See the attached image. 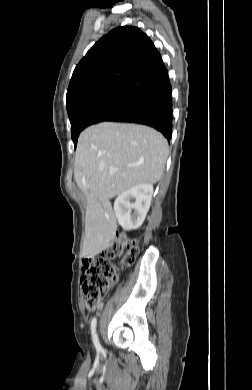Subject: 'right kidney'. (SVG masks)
<instances>
[{
    "mask_svg": "<svg viewBox=\"0 0 252 390\" xmlns=\"http://www.w3.org/2000/svg\"><path fill=\"white\" fill-rule=\"evenodd\" d=\"M152 194V184H139L116 198L114 212L118 223L124 230H134L142 225L150 207ZM132 210H134L133 213Z\"/></svg>",
    "mask_w": 252,
    "mask_h": 390,
    "instance_id": "1",
    "label": "right kidney"
}]
</instances>
